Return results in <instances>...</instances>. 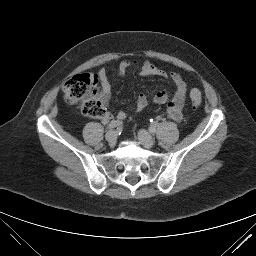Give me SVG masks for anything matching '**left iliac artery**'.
<instances>
[{"instance_id":"obj_1","label":"left iliac artery","mask_w":256,"mask_h":256,"mask_svg":"<svg viewBox=\"0 0 256 256\" xmlns=\"http://www.w3.org/2000/svg\"><path fill=\"white\" fill-rule=\"evenodd\" d=\"M157 126H158V122H157V121H152V122H151V126L149 127V131H150L151 133H154Z\"/></svg>"}]
</instances>
